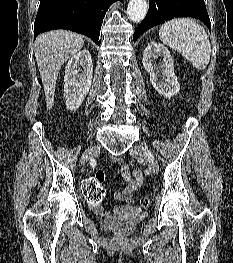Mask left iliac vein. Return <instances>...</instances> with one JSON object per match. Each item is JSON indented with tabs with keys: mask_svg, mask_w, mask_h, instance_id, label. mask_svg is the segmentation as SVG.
Wrapping results in <instances>:
<instances>
[{
	"mask_svg": "<svg viewBox=\"0 0 233 263\" xmlns=\"http://www.w3.org/2000/svg\"><path fill=\"white\" fill-rule=\"evenodd\" d=\"M130 154L138 160L147 162L150 171L154 175L158 174V162L155 160L153 154L146 147L142 145H134L130 149Z\"/></svg>",
	"mask_w": 233,
	"mask_h": 263,
	"instance_id": "1",
	"label": "left iliac vein"
}]
</instances>
